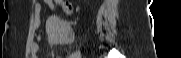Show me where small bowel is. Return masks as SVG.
<instances>
[{
  "label": "small bowel",
  "mask_w": 181,
  "mask_h": 58,
  "mask_svg": "<svg viewBox=\"0 0 181 58\" xmlns=\"http://www.w3.org/2000/svg\"><path fill=\"white\" fill-rule=\"evenodd\" d=\"M45 2L47 4H49L51 7H58L61 9V11L64 13V14H70L71 11H72V6L71 4L68 2V1H65V0H45ZM41 4L40 3H37L36 6H35V13L37 15H39L41 13ZM64 42L65 43H70L71 42V35L70 34H67L66 37L64 38ZM40 50V46L39 44L37 43H33L32 46H31V52H32V55L34 58H36V55L37 53L39 52Z\"/></svg>",
  "instance_id": "1"
}]
</instances>
